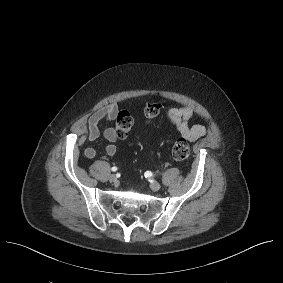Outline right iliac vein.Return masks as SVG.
<instances>
[{"mask_svg":"<svg viewBox=\"0 0 283 283\" xmlns=\"http://www.w3.org/2000/svg\"><path fill=\"white\" fill-rule=\"evenodd\" d=\"M109 181H110V182H116V181H117L116 175H114V174L110 175V176H109Z\"/></svg>","mask_w":283,"mask_h":283,"instance_id":"right-iliac-vein-1","label":"right iliac vein"}]
</instances>
